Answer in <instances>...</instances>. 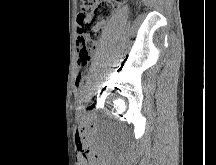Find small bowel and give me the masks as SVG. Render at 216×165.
Segmentation results:
<instances>
[{
  "label": "small bowel",
  "instance_id": "obj_1",
  "mask_svg": "<svg viewBox=\"0 0 216 165\" xmlns=\"http://www.w3.org/2000/svg\"><path fill=\"white\" fill-rule=\"evenodd\" d=\"M78 65L81 66L82 64L78 62ZM82 79H83L82 75L79 74V75L77 76V78H76V86H77V87H79V86L81 85Z\"/></svg>",
  "mask_w": 216,
  "mask_h": 165
}]
</instances>
